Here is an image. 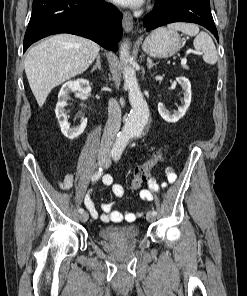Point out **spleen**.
I'll return each instance as SVG.
<instances>
[{
  "mask_svg": "<svg viewBox=\"0 0 247 296\" xmlns=\"http://www.w3.org/2000/svg\"><path fill=\"white\" fill-rule=\"evenodd\" d=\"M167 27L171 30L181 31L189 36H195L193 45L197 51L203 53V60L210 65H214L217 62L218 55L213 40L206 32H200L197 25L176 22L169 24Z\"/></svg>",
  "mask_w": 247,
  "mask_h": 296,
  "instance_id": "obj_1",
  "label": "spleen"
}]
</instances>
